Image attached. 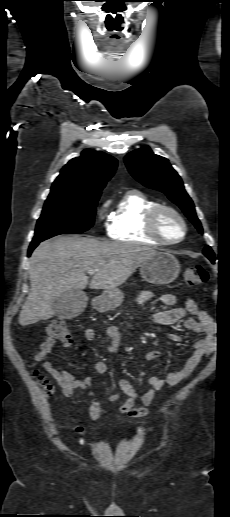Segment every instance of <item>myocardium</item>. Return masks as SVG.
<instances>
[{"mask_svg":"<svg viewBox=\"0 0 230 517\" xmlns=\"http://www.w3.org/2000/svg\"><path fill=\"white\" fill-rule=\"evenodd\" d=\"M164 214H172L177 218L182 226L181 235L173 240L167 239L160 230V222ZM147 230L151 237L155 238L160 244L163 245H175L184 240L187 234V224L183 216L173 207L166 205H159L150 211L147 217Z\"/></svg>","mask_w":230,"mask_h":517,"instance_id":"f54148a6","label":"myocardium"}]
</instances>
